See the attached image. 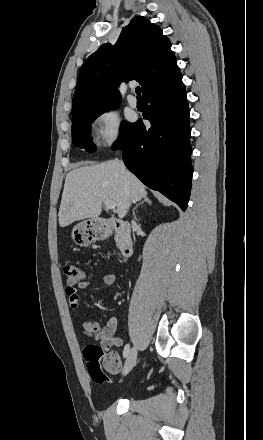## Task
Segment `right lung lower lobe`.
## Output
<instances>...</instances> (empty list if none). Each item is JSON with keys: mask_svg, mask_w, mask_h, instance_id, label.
<instances>
[{"mask_svg": "<svg viewBox=\"0 0 263 440\" xmlns=\"http://www.w3.org/2000/svg\"><path fill=\"white\" fill-rule=\"evenodd\" d=\"M144 118L132 123L113 147L123 149L126 167L146 186L157 190L186 210L193 169L189 144L190 112L182 75H174L143 95Z\"/></svg>", "mask_w": 263, "mask_h": 440, "instance_id": "obj_1", "label": "right lung lower lobe"}]
</instances>
